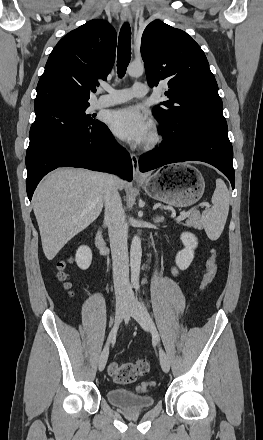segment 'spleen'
<instances>
[{"label":"spleen","mask_w":263,"mask_h":440,"mask_svg":"<svg viewBox=\"0 0 263 440\" xmlns=\"http://www.w3.org/2000/svg\"><path fill=\"white\" fill-rule=\"evenodd\" d=\"M230 194L222 179L216 180V189L212 196V208L202 212V222L210 240H217L223 232L228 212Z\"/></svg>","instance_id":"spleen-1"}]
</instances>
